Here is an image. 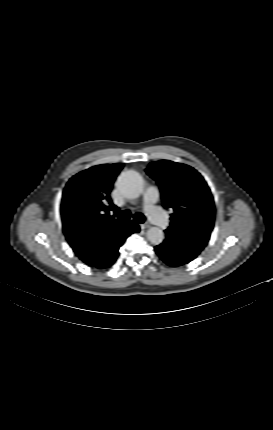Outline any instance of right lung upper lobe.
Masks as SVG:
<instances>
[{
  "instance_id": "1",
  "label": "right lung upper lobe",
  "mask_w": 273,
  "mask_h": 430,
  "mask_svg": "<svg viewBox=\"0 0 273 430\" xmlns=\"http://www.w3.org/2000/svg\"><path fill=\"white\" fill-rule=\"evenodd\" d=\"M123 164L93 166L73 176L62 196L61 217L63 230L70 245L82 261L106 233H116L133 221L118 223L113 219L118 208L110 199L113 183Z\"/></svg>"
}]
</instances>
